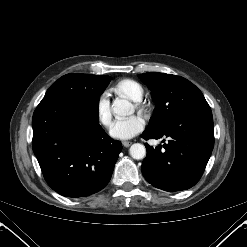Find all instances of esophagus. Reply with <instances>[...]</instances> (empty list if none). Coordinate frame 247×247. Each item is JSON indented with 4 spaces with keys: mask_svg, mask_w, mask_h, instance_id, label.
<instances>
[{
    "mask_svg": "<svg viewBox=\"0 0 247 247\" xmlns=\"http://www.w3.org/2000/svg\"><path fill=\"white\" fill-rule=\"evenodd\" d=\"M122 144H123L124 147H129L132 144V142H130V141H123Z\"/></svg>",
    "mask_w": 247,
    "mask_h": 247,
    "instance_id": "34e87169",
    "label": "esophagus"
}]
</instances>
